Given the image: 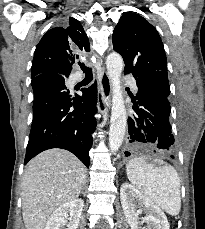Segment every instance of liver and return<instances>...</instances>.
I'll return each mask as SVG.
<instances>
[{
	"label": "liver",
	"instance_id": "6515ba94",
	"mask_svg": "<svg viewBox=\"0 0 205 229\" xmlns=\"http://www.w3.org/2000/svg\"><path fill=\"white\" fill-rule=\"evenodd\" d=\"M86 182L83 163L72 153L55 148L34 157L22 182V215L26 229H45L51 214L79 197Z\"/></svg>",
	"mask_w": 205,
	"mask_h": 229
}]
</instances>
